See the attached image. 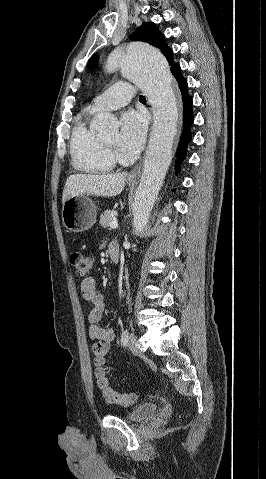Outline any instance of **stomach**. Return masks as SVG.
<instances>
[{
  "label": "stomach",
  "instance_id": "obj_1",
  "mask_svg": "<svg viewBox=\"0 0 266 479\" xmlns=\"http://www.w3.org/2000/svg\"><path fill=\"white\" fill-rule=\"evenodd\" d=\"M134 182L129 180L130 184ZM96 216V206L85 194L68 198L62 207L63 225L75 233L90 229L96 221Z\"/></svg>",
  "mask_w": 266,
  "mask_h": 479
}]
</instances>
